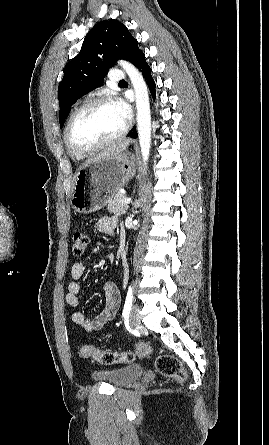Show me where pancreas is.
Segmentation results:
<instances>
[{"instance_id":"pancreas-1","label":"pancreas","mask_w":269,"mask_h":445,"mask_svg":"<svg viewBox=\"0 0 269 445\" xmlns=\"http://www.w3.org/2000/svg\"><path fill=\"white\" fill-rule=\"evenodd\" d=\"M126 196L120 192L115 193L107 202L108 211L116 215H123L128 210V205L123 202Z\"/></svg>"}]
</instances>
